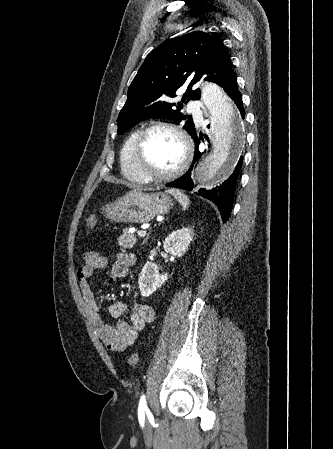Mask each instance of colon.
<instances>
[{
  "label": "colon",
  "instance_id": "5ec220e1",
  "mask_svg": "<svg viewBox=\"0 0 333 449\" xmlns=\"http://www.w3.org/2000/svg\"><path fill=\"white\" fill-rule=\"evenodd\" d=\"M98 217L97 215L93 214L90 215L86 220V227L88 229H92L97 225ZM139 361V355L137 353H132L129 355L127 363L130 367H135L138 364Z\"/></svg>",
  "mask_w": 333,
  "mask_h": 449
}]
</instances>
